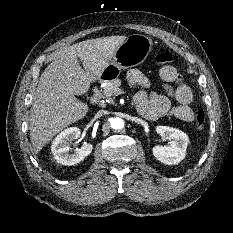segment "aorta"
Masks as SVG:
<instances>
[{
    "instance_id": "762f6f07",
    "label": "aorta",
    "mask_w": 233,
    "mask_h": 233,
    "mask_svg": "<svg viewBox=\"0 0 233 233\" xmlns=\"http://www.w3.org/2000/svg\"><path fill=\"white\" fill-rule=\"evenodd\" d=\"M110 123L111 127L115 130L122 129L124 127V121L121 118H113Z\"/></svg>"
}]
</instances>
